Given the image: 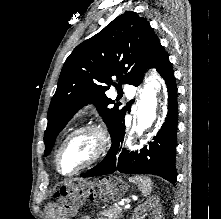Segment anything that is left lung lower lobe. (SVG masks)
<instances>
[{"mask_svg":"<svg viewBox=\"0 0 221 219\" xmlns=\"http://www.w3.org/2000/svg\"><path fill=\"white\" fill-rule=\"evenodd\" d=\"M148 68H156L165 80L168 92V112L165 122L153 141L139 152H128L122 148L125 135L124 117L116 128L112 145L102 162L87 171L82 177L112 174H153L170 183H176L175 150L177 134V86L168 55L160 45Z\"/></svg>","mask_w":221,"mask_h":219,"instance_id":"1","label":"left lung lower lobe"}]
</instances>
